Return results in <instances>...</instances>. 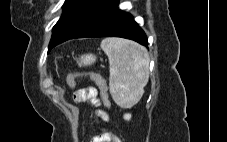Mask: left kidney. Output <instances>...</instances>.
Here are the masks:
<instances>
[{
	"mask_svg": "<svg viewBox=\"0 0 227 142\" xmlns=\"http://www.w3.org/2000/svg\"><path fill=\"white\" fill-rule=\"evenodd\" d=\"M124 119L125 120H130L131 119V114H129V113L124 114Z\"/></svg>",
	"mask_w": 227,
	"mask_h": 142,
	"instance_id": "obj_1",
	"label": "left kidney"
}]
</instances>
